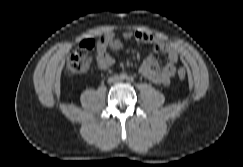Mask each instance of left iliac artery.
I'll return each mask as SVG.
<instances>
[{
    "label": "left iliac artery",
    "mask_w": 243,
    "mask_h": 167,
    "mask_svg": "<svg viewBox=\"0 0 243 167\" xmlns=\"http://www.w3.org/2000/svg\"><path fill=\"white\" fill-rule=\"evenodd\" d=\"M128 80L129 81H133V77H128Z\"/></svg>",
    "instance_id": "obj_1"
}]
</instances>
